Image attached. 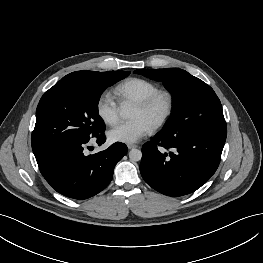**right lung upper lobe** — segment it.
Segmentation results:
<instances>
[{"mask_svg":"<svg viewBox=\"0 0 263 263\" xmlns=\"http://www.w3.org/2000/svg\"><path fill=\"white\" fill-rule=\"evenodd\" d=\"M90 71H76L63 77L62 79H80L86 76Z\"/></svg>","mask_w":263,"mask_h":263,"instance_id":"right-lung-upper-lobe-1","label":"right lung upper lobe"}]
</instances>
